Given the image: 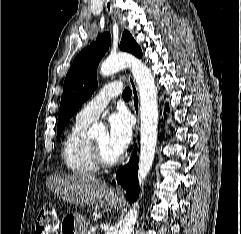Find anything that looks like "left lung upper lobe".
I'll return each instance as SVG.
<instances>
[{"label":"left lung upper lobe","mask_w":241,"mask_h":234,"mask_svg":"<svg viewBox=\"0 0 241 234\" xmlns=\"http://www.w3.org/2000/svg\"><path fill=\"white\" fill-rule=\"evenodd\" d=\"M110 34L99 35L96 42L82 50L69 69L63 88L57 124V139L75 111L93 94L97 88V66L108 50ZM120 49L142 57V51L131 34L125 30Z\"/></svg>","instance_id":"1"}]
</instances>
